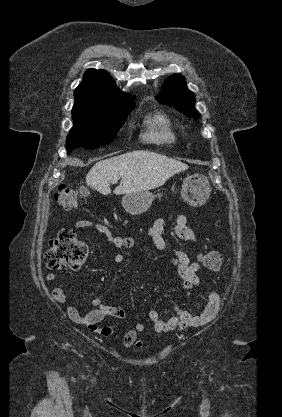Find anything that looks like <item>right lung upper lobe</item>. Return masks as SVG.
I'll list each match as a JSON object with an SVG mask.
<instances>
[{
  "instance_id": "cb5924a9",
  "label": "right lung upper lobe",
  "mask_w": 282,
  "mask_h": 417,
  "mask_svg": "<svg viewBox=\"0 0 282 417\" xmlns=\"http://www.w3.org/2000/svg\"><path fill=\"white\" fill-rule=\"evenodd\" d=\"M75 97H108V96H125V94L118 89L115 82L104 70L88 69L84 76L82 83L76 88Z\"/></svg>"
}]
</instances>
